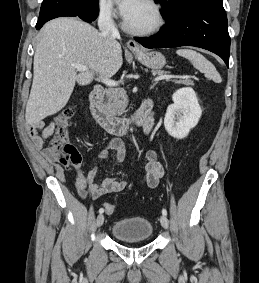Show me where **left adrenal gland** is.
<instances>
[{
    "label": "left adrenal gland",
    "mask_w": 259,
    "mask_h": 283,
    "mask_svg": "<svg viewBox=\"0 0 259 283\" xmlns=\"http://www.w3.org/2000/svg\"><path fill=\"white\" fill-rule=\"evenodd\" d=\"M156 84H157V82L153 83V84L151 85L150 89H153Z\"/></svg>",
    "instance_id": "a2214340"
}]
</instances>
